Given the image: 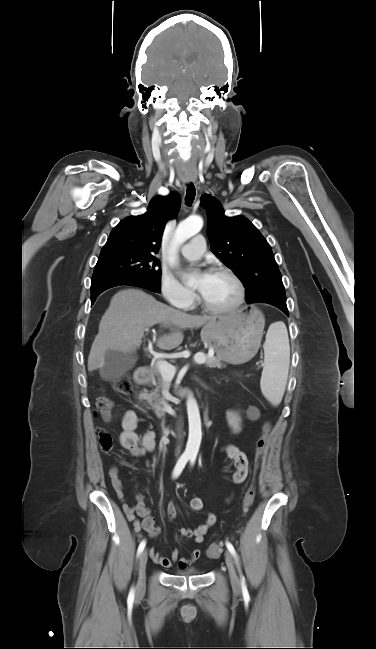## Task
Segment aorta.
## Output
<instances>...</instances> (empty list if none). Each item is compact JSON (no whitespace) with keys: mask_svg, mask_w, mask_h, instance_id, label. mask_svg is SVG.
<instances>
[{"mask_svg":"<svg viewBox=\"0 0 376 649\" xmlns=\"http://www.w3.org/2000/svg\"><path fill=\"white\" fill-rule=\"evenodd\" d=\"M202 227L203 220L200 216L188 217L186 220L179 223L173 237V251H177L180 245L199 233ZM170 263H176L175 257L170 258ZM186 405L189 422V435L185 452L196 456L202 439L200 413L197 402L193 396L188 397Z\"/></svg>","mask_w":376,"mask_h":649,"instance_id":"1","label":"aorta"}]
</instances>
